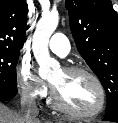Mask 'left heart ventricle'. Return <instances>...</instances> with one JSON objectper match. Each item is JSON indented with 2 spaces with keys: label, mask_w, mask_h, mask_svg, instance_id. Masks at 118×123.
<instances>
[{
  "label": "left heart ventricle",
  "mask_w": 118,
  "mask_h": 123,
  "mask_svg": "<svg viewBox=\"0 0 118 123\" xmlns=\"http://www.w3.org/2000/svg\"><path fill=\"white\" fill-rule=\"evenodd\" d=\"M50 82L62 101L75 111L89 112L98 104L97 88L85 74H70L59 70L51 77Z\"/></svg>",
  "instance_id": "obj_1"
}]
</instances>
